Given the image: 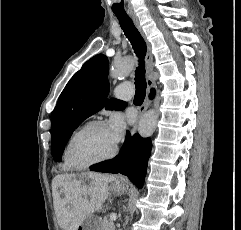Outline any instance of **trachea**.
Returning <instances> with one entry per match:
<instances>
[{"label": "trachea", "mask_w": 241, "mask_h": 230, "mask_svg": "<svg viewBox=\"0 0 241 230\" xmlns=\"http://www.w3.org/2000/svg\"><path fill=\"white\" fill-rule=\"evenodd\" d=\"M116 17L119 20V24L124 31L125 36L131 42L134 52L139 58V66L136 69L135 73V85L136 93L134 97V102L141 104L144 101L146 94V79H145V63L144 57L146 55V43L133 24L131 18L124 13H115Z\"/></svg>", "instance_id": "3493384b"}]
</instances>
